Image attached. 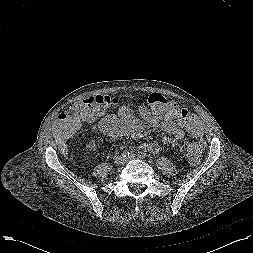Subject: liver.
I'll use <instances>...</instances> for the list:
<instances>
[{
  "label": "liver",
  "mask_w": 253,
  "mask_h": 253,
  "mask_svg": "<svg viewBox=\"0 0 253 253\" xmlns=\"http://www.w3.org/2000/svg\"><path fill=\"white\" fill-rule=\"evenodd\" d=\"M52 133L53 137L55 138L56 143L58 144L59 148L63 150L64 146V138L58 128L57 123H53L52 125Z\"/></svg>",
  "instance_id": "6515ba94"
}]
</instances>
